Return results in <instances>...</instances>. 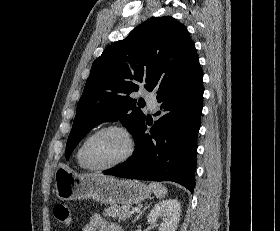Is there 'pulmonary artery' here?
I'll use <instances>...</instances> for the list:
<instances>
[{"label": "pulmonary artery", "mask_w": 280, "mask_h": 231, "mask_svg": "<svg viewBox=\"0 0 280 231\" xmlns=\"http://www.w3.org/2000/svg\"><path fill=\"white\" fill-rule=\"evenodd\" d=\"M144 99H145L147 105H158L157 97H156V94L154 92L144 93ZM151 111H155V110H151Z\"/></svg>", "instance_id": "obj_1"}]
</instances>
